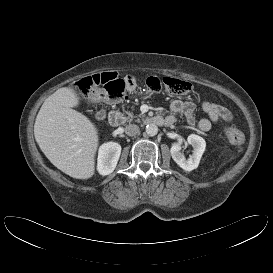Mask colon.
Instances as JSON below:
<instances>
[{
    "mask_svg": "<svg viewBox=\"0 0 273 273\" xmlns=\"http://www.w3.org/2000/svg\"><path fill=\"white\" fill-rule=\"evenodd\" d=\"M102 86L103 91L98 93L95 87ZM147 90L152 94H158L163 89L171 95L181 96L191 90V84L186 80L173 77H150L146 81ZM126 79L115 72L97 73L85 77L77 82L76 90L79 96L85 100L104 99L106 101H119L125 98ZM224 131L229 141L237 148L245 144L244 134L231 125H226Z\"/></svg>",
    "mask_w": 273,
    "mask_h": 273,
    "instance_id": "5ec220e1",
    "label": "colon"
}]
</instances>
